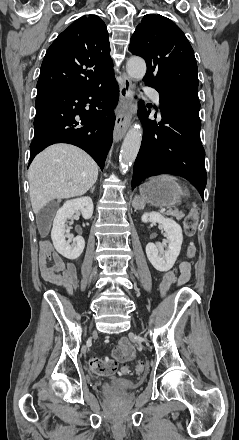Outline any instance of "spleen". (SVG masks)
I'll list each match as a JSON object with an SVG mask.
<instances>
[{"instance_id":"1","label":"spleen","mask_w":239,"mask_h":440,"mask_svg":"<svg viewBox=\"0 0 239 440\" xmlns=\"http://www.w3.org/2000/svg\"><path fill=\"white\" fill-rule=\"evenodd\" d=\"M162 178H166V180H172V182H173V180H177V178H174V176H162ZM194 206H195V204H194Z\"/></svg>"}]
</instances>
